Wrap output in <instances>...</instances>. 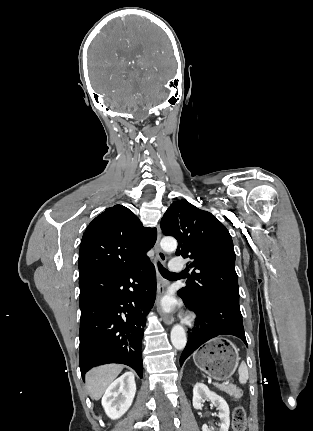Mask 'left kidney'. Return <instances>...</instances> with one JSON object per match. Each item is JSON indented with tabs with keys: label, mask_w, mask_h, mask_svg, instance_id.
<instances>
[{
	"label": "left kidney",
	"mask_w": 313,
	"mask_h": 431,
	"mask_svg": "<svg viewBox=\"0 0 313 431\" xmlns=\"http://www.w3.org/2000/svg\"><path fill=\"white\" fill-rule=\"evenodd\" d=\"M210 400L219 410L218 417L221 424L219 431H228L230 426V411L227 402L216 393L209 390V388L202 384L197 383L193 388V407L201 409L205 400ZM202 431H211L206 424L202 426Z\"/></svg>",
	"instance_id": "1"
}]
</instances>
